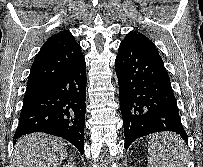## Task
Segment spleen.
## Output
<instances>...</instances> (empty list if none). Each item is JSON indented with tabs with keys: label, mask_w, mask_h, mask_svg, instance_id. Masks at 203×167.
<instances>
[{
	"label": "spleen",
	"mask_w": 203,
	"mask_h": 167,
	"mask_svg": "<svg viewBox=\"0 0 203 167\" xmlns=\"http://www.w3.org/2000/svg\"><path fill=\"white\" fill-rule=\"evenodd\" d=\"M148 145V167H184L187 162V148L175 134L153 136Z\"/></svg>",
	"instance_id": "3e777b00"
}]
</instances>
